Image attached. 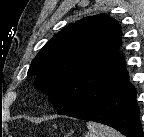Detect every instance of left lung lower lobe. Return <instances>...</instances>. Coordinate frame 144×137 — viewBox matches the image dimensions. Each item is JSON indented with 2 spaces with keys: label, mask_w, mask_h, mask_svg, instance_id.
I'll list each match as a JSON object with an SVG mask.
<instances>
[{
  "label": "left lung lower lobe",
  "mask_w": 144,
  "mask_h": 137,
  "mask_svg": "<svg viewBox=\"0 0 144 137\" xmlns=\"http://www.w3.org/2000/svg\"><path fill=\"white\" fill-rule=\"evenodd\" d=\"M58 114L105 124L127 137H143L136 90L124 63Z\"/></svg>",
  "instance_id": "1"
}]
</instances>
